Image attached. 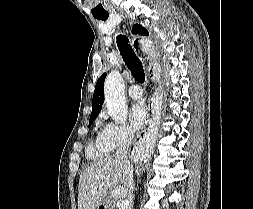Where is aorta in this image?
Instances as JSON below:
<instances>
[{"mask_svg":"<svg viewBox=\"0 0 253 209\" xmlns=\"http://www.w3.org/2000/svg\"><path fill=\"white\" fill-rule=\"evenodd\" d=\"M104 99L108 114L115 122H120L127 115L128 107L124 94V82L117 70H112L104 83ZM149 145H146V151Z\"/></svg>","mask_w":253,"mask_h":209,"instance_id":"obj_1","label":"aorta"}]
</instances>
